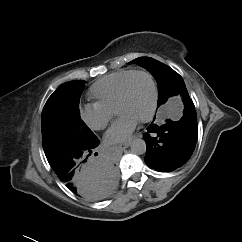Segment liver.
Segmentation results:
<instances>
[{"label": "liver", "mask_w": 242, "mask_h": 242, "mask_svg": "<svg viewBox=\"0 0 242 242\" xmlns=\"http://www.w3.org/2000/svg\"><path fill=\"white\" fill-rule=\"evenodd\" d=\"M107 181L104 178V174L102 173V175H100V177L97 179V181H95L92 184L87 185L85 188H83V195L84 197H86L87 199L90 200H97V199H101L104 198L105 196H107L109 193H106V189L107 187ZM99 196V197H97ZM97 197V198H96Z\"/></svg>", "instance_id": "6515ba94"}]
</instances>
